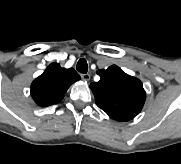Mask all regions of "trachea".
<instances>
[{"mask_svg": "<svg viewBox=\"0 0 181 164\" xmlns=\"http://www.w3.org/2000/svg\"><path fill=\"white\" fill-rule=\"evenodd\" d=\"M76 69H77V71H79L83 74H86L88 71L87 61L84 58L80 59L77 63Z\"/></svg>", "mask_w": 181, "mask_h": 164, "instance_id": "3493384b", "label": "trachea"}]
</instances>
